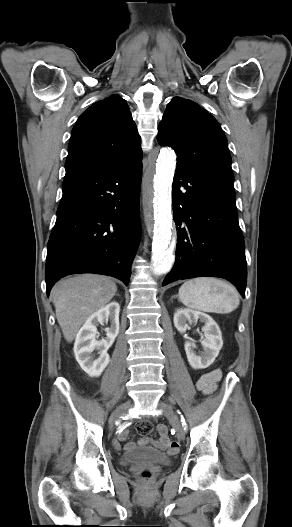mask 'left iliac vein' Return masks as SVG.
I'll return each instance as SVG.
<instances>
[{
	"label": "left iliac vein",
	"mask_w": 292,
	"mask_h": 527,
	"mask_svg": "<svg viewBox=\"0 0 292 527\" xmlns=\"http://www.w3.org/2000/svg\"><path fill=\"white\" fill-rule=\"evenodd\" d=\"M159 408L162 410L164 416L167 417L172 422L173 427L176 430L177 438L181 441L184 440L185 438L184 428L181 425V422L179 418L177 417L176 413L174 412L172 406L168 403L160 401Z\"/></svg>",
	"instance_id": "left-iliac-vein-1"
}]
</instances>
